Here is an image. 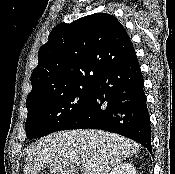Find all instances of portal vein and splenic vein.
<instances>
[{"instance_id": "obj_1", "label": "portal vein and splenic vein", "mask_w": 175, "mask_h": 174, "mask_svg": "<svg viewBox=\"0 0 175 174\" xmlns=\"http://www.w3.org/2000/svg\"><path fill=\"white\" fill-rule=\"evenodd\" d=\"M82 168H83L84 170H87L89 167H88V165H86V164H82Z\"/></svg>"}]
</instances>
